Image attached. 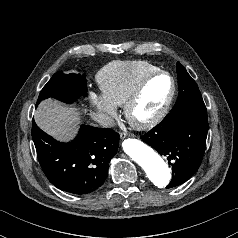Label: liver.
<instances>
[{"mask_svg": "<svg viewBox=\"0 0 238 238\" xmlns=\"http://www.w3.org/2000/svg\"><path fill=\"white\" fill-rule=\"evenodd\" d=\"M35 121L46 133L59 140H68L76 131L79 113L76 108H67L53 99H47L39 105Z\"/></svg>", "mask_w": 238, "mask_h": 238, "instance_id": "liver-1", "label": "liver"}]
</instances>
